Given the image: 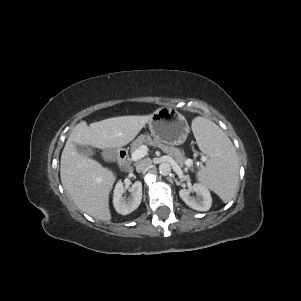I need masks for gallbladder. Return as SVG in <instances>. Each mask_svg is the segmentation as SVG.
Returning <instances> with one entry per match:
<instances>
[{
    "instance_id": "1",
    "label": "gallbladder",
    "mask_w": 301,
    "mask_h": 301,
    "mask_svg": "<svg viewBox=\"0 0 301 301\" xmlns=\"http://www.w3.org/2000/svg\"><path fill=\"white\" fill-rule=\"evenodd\" d=\"M76 150L82 156L89 157V156H91L93 154V151L87 145L76 144Z\"/></svg>"
}]
</instances>
